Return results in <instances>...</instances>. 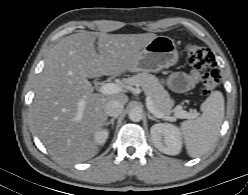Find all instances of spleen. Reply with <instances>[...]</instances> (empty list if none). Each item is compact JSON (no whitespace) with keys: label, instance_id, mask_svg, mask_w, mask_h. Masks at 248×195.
<instances>
[{"label":"spleen","instance_id":"spleen-1","mask_svg":"<svg viewBox=\"0 0 248 195\" xmlns=\"http://www.w3.org/2000/svg\"><path fill=\"white\" fill-rule=\"evenodd\" d=\"M202 115L181 123L185 146L189 156L207 153L218 138L224 118V97L220 91L212 92L201 105Z\"/></svg>","mask_w":248,"mask_h":195}]
</instances>
